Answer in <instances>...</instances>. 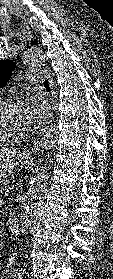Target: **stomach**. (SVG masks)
Masks as SVG:
<instances>
[{"instance_id":"obj_1","label":"stomach","mask_w":113,"mask_h":279,"mask_svg":"<svg viewBox=\"0 0 113 279\" xmlns=\"http://www.w3.org/2000/svg\"><path fill=\"white\" fill-rule=\"evenodd\" d=\"M17 160L19 162L25 163V164H32L34 158L32 156H27L25 154L18 156ZM18 164L16 161H5L0 162V183H2L7 176L12 172L14 167Z\"/></svg>"}]
</instances>
